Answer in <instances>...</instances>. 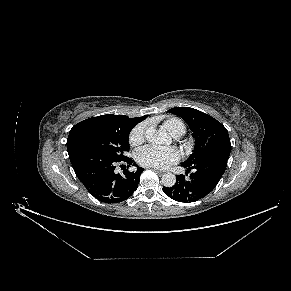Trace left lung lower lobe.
Instances as JSON below:
<instances>
[{"label": "left lung lower lobe", "instance_id": "1", "mask_svg": "<svg viewBox=\"0 0 291 291\" xmlns=\"http://www.w3.org/2000/svg\"><path fill=\"white\" fill-rule=\"evenodd\" d=\"M182 165L187 168L186 175L191 171L189 177L176 175L175 185L164 187L163 191L173 200L194 202L207 196L216 187L226 169L227 160L208 159L191 165Z\"/></svg>", "mask_w": 291, "mask_h": 291}]
</instances>
